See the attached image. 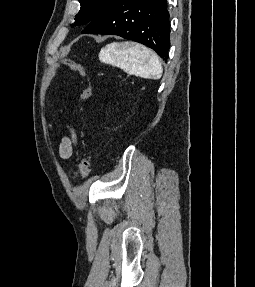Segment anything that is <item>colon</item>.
<instances>
[{"label":"colon","mask_w":255,"mask_h":287,"mask_svg":"<svg viewBox=\"0 0 255 287\" xmlns=\"http://www.w3.org/2000/svg\"><path fill=\"white\" fill-rule=\"evenodd\" d=\"M63 64L69 68L71 71L78 73L86 82L87 85L83 89L81 93V98L82 99H87L91 96V86L89 84V77L86 72V70L78 63L72 61V60H64ZM79 174L82 179H87L90 174V159L87 155H84L79 163Z\"/></svg>","instance_id":"colon-1"}]
</instances>
